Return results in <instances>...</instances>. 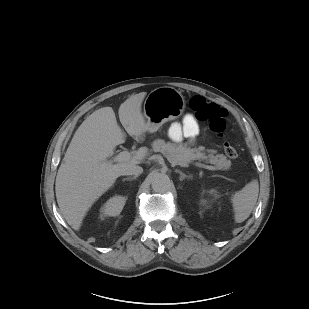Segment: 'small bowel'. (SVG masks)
<instances>
[{"instance_id":"c3829d8e","label":"small bowel","mask_w":309,"mask_h":309,"mask_svg":"<svg viewBox=\"0 0 309 309\" xmlns=\"http://www.w3.org/2000/svg\"><path fill=\"white\" fill-rule=\"evenodd\" d=\"M170 136L173 141L179 142L182 135L193 138L198 133V125L192 115L187 114L181 124L174 123L170 127Z\"/></svg>"}]
</instances>
